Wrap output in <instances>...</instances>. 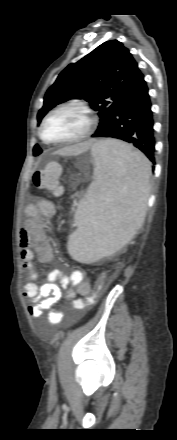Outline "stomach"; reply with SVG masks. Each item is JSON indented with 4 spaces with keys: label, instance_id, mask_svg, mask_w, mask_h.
Listing matches in <instances>:
<instances>
[{
    "label": "stomach",
    "instance_id": "0dacf381",
    "mask_svg": "<svg viewBox=\"0 0 177 440\" xmlns=\"http://www.w3.org/2000/svg\"><path fill=\"white\" fill-rule=\"evenodd\" d=\"M96 144V143H95ZM95 144L92 146V149L94 148Z\"/></svg>",
    "mask_w": 177,
    "mask_h": 440
}]
</instances>
